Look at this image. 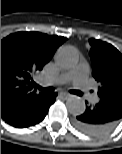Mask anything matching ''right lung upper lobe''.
<instances>
[{"label":"right lung upper lobe","instance_id":"obj_1","mask_svg":"<svg viewBox=\"0 0 122 154\" xmlns=\"http://www.w3.org/2000/svg\"><path fill=\"white\" fill-rule=\"evenodd\" d=\"M61 36L39 32H17L1 40V117H9L25 102L44 93L33 89L32 75L42 70L56 49L65 42Z\"/></svg>","mask_w":122,"mask_h":154}]
</instances>
